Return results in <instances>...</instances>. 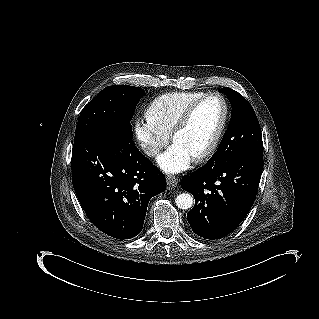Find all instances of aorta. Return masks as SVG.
Returning <instances> with one entry per match:
<instances>
[{
  "label": "aorta",
  "mask_w": 319,
  "mask_h": 319,
  "mask_svg": "<svg viewBox=\"0 0 319 319\" xmlns=\"http://www.w3.org/2000/svg\"><path fill=\"white\" fill-rule=\"evenodd\" d=\"M175 203L178 208L187 210L193 205V196L189 193L179 194L175 199Z\"/></svg>",
  "instance_id": "762f6f07"
}]
</instances>
